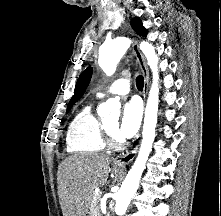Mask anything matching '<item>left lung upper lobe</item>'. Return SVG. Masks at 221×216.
Returning <instances> with one entry per match:
<instances>
[{
	"instance_id": "1",
	"label": "left lung upper lobe",
	"mask_w": 221,
	"mask_h": 216,
	"mask_svg": "<svg viewBox=\"0 0 221 216\" xmlns=\"http://www.w3.org/2000/svg\"><path fill=\"white\" fill-rule=\"evenodd\" d=\"M131 25L133 27V29L141 36H146L147 35V30L145 29V27L142 25V22L140 21V19L138 18H134L131 22ZM91 75H92V68L89 67L87 68L79 77V79L77 80L76 83V87H75V92L73 97L71 98L67 111L70 110V108L72 107V105L77 102L82 95L84 94L90 79H91Z\"/></svg>"
}]
</instances>
